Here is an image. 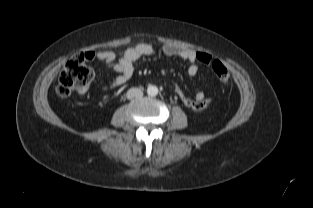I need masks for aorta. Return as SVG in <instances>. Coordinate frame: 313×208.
<instances>
[{
	"instance_id": "1",
	"label": "aorta",
	"mask_w": 313,
	"mask_h": 208,
	"mask_svg": "<svg viewBox=\"0 0 313 208\" xmlns=\"http://www.w3.org/2000/svg\"><path fill=\"white\" fill-rule=\"evenodd\" d=\"M147 94L149 96H156L158 94V88L155 85H149L147 88Z\"/></svg>"
}]
</instances>
